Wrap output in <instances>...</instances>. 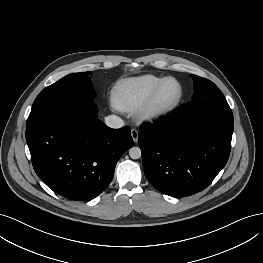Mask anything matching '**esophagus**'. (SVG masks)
Returning a JSON list of instances; mask_svg holds the SVG:
<instances>
[{"label":"esophagus","instance_id":"1","mask_svg":"<svg viewBox=\"0 0 263 263\" xmlns=\"http://www.w3.org/2000/svg\"><path fill=\"white\" fill-rule=\"evenodd\" d=\"M131 136L133 141L136 143L138 141V130L135 128L131 129Z\"/></svg>","mask_w":263,"mask_h":263}]
</instances>
